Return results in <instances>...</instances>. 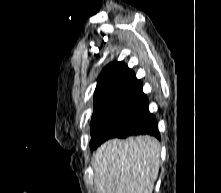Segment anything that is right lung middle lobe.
Segmentation results:
<instances>
[{
  "label": "right lung middle lobe",
  "mask_w": 221,
  "mask_h": 193,
  "mask_svg": "<svg viewBox=\"0 0 221 193\" xmlns=\"http://www.w3.org/2000/svg\"><path fill=\"white\" fill-rule=\"evenodd\" d=\"M149 116L148 102L139 101L115 103L93 113L90 148L94 150L106 140L123 135Z\"/></svg>",
  "instance_id": "1"
}]
</instances>
